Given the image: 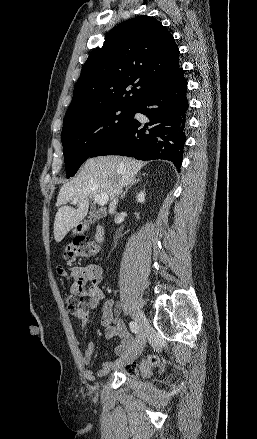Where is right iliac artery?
<instances>
[{
	"label": "right iliac artery",
	"mask_w": 257,
	"mask_h": 439,
	"mask_svg": "<svg viewBox=\"0 0 257 439\" xmlns=\"http://www.w3.org/2000/svg\"><path fill=\"white\" fill-rule=\"evenodd\" d=\"M129 327H130V330H131L134 334H137V333H138L139 326H138V324H137L136 322L131 321V322L129 323Z\"/></svg>",
	"instance_id": "1"
}]
</instances>
